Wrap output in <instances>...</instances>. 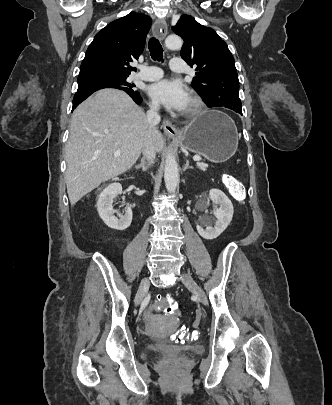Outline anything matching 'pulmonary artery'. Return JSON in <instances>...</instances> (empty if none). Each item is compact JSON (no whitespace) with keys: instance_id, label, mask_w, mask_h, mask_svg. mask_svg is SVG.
<instances>
[{"instance_id":"1","label":"pulmonary artery","mask_w":332,"mask_h":405,"mask_svg":"<svg viewBox=\"0 0 332 405\" xmlns=\"http://www.w3.org/2000/svg\"><path fill=\"white\" fill-rule=\"evenodd\" d=\"M185 62L181 58H172L170 61V69L175 73L185 72ZM163 76V71L157 66H141L137 74L139 79L145 81L158 80Z\"/></svg>"}]
</instances>
